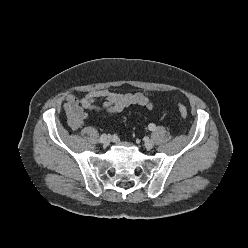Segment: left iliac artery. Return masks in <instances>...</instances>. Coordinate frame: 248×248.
<instances>
[{
    "instance_id": "obj_1",
    "label": "left iliac artery",
    "mask_w": 248,
    "mask_h": 248,
    "mask_svg": "<svg viewBox=\"0 0 248 248\" xmlns=\"http://www.w3.org/2000/svg\"><path fill=\"white\" fill-rule=\"evenodd\" d=\"M148 128H149V130L154 131L156 129V125L151 123V124H149Z\"/></svg>"
}]
</instances>
